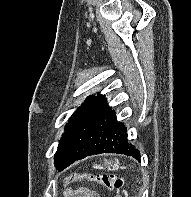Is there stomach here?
Returning a JSON list of instances; mask_svg holds the SVG:
<instances>
[{
	"instance_id": "stomach-1",
	"label": "stomach",
	"mask_w": 191,
	"mask_h": 197,
	"mask_svg": "<svg viewBox=\"0 0 191 197\" xmlns=\"http://www.w3.org/2000/svg\"><path fill=\"white\" fill-rule=\"evenodd\" d=\"M103 166H105V167H107V168H118L119 167V162H112V161H108V160H105L104 161V165ZM99 167H101L100 165H99Z\"/></svg>"
}]
</instances>
